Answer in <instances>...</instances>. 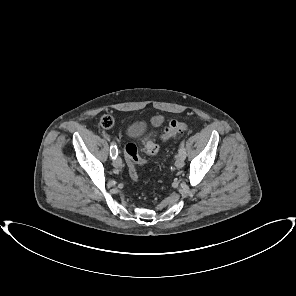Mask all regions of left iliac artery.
<instances>
[{
	"mask_svg": "<svg viewBox=\"0 0 296 296\" xmlns=\"http://www.w3.org/2000/svg\"><path fill=\"white\" fill-rule=\"evenodd\" d=\"M179 156L185 158L186 157V152H185V148H184V144L180 145V148L178 150Z\"/></svg>",
	"mask_w": 296,
	"mask_h": 296,
	"instance_id": "left-iliac-artery-1",
	"label": "left iliac artery"
}]
</instances>
